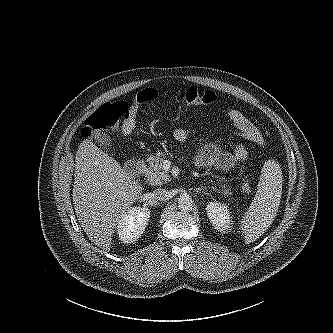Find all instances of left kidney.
I'll list each match as a JSON object with an SVG mask.
<instances>
[{
	"mask_svg": "<svg viewBox=\"0 0 333 333\" xmlns=\"http://www.w3.org/2000/svg\"><path fill=\"white\" fill-rule=\"evenodd\" d=\"M207 216L214 226L220 232H227L232 228L231 215L228 206L219 201H211L206 206Z\"/></svg>",
	"mask_w": 333,
	"mask_h": 333,
	"instance_id": "left-kidney-1",
	"label": "left kidney"
}]
</instances>
